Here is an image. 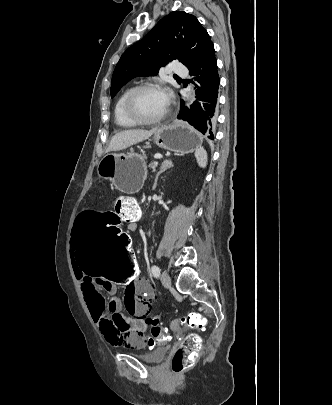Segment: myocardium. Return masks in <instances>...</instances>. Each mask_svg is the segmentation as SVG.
Masks as SVG:
<instances>
[{"label": "myocardium", "instance_id": "f54148a6", "mask_svg": "<svg viewBox=\"0 0 332 405\" xmlns=\"http://www.w3.org/2000/svg\"><path fill=\"white\" fill-rule=\"evenodd\" d=\"M145 90H160L162 91V88L160 85L156 84V83H143L140 84L134 88L131 89V91L127 94L124 103H123V111L125 116L131 120L132 122H134L135 124L138 125H150V124H156L159 123L161 121H163L164 119H166L170 112V106L168 105V109L166 110V112L164 114H162L159 117L153 118V119H144L139 117L135 110H134V101L136 99V97L138 96L139 93H141L142 91Z\"/></svg>", "mask_w": 332, "mask_h": 405}]
</instances>
